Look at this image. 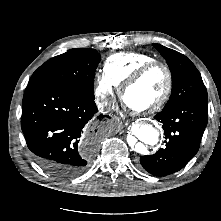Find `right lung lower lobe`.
I'll return each instance as SVG.
<instances>
[{"label":"right lung lower lobe","mask_w":221,"mask_h":221,"mask_svg":"<svg viewBox=\"0 0 221 221\" xmlns=\"http://www.w3.org/2000/svg\"><path fill=\"white\" fill-rule=\"evenodd\" d=\"M97 111L92 98L46 81L28 84L22 102L21 128L38 165L58 178L82 174L94 154L93 149L85 151L81 147L84 126L97 128L108 117Z\"/></svg>","instance_id":"right-lung-lower-lobe-1"}]
</instances>
